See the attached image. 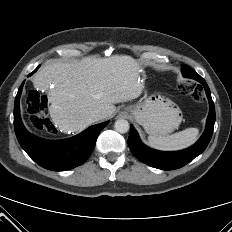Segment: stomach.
Returning a JSON list of instances; mask_svg holds the SVG:
<instances>
[{"label": "stomach", "instance_id": "obj_1", "mask_svg": "<svg viewBox=\"0 0 232 232\" xmlns=\"http://www.w3.org/2000/svg\"><path fill=\"white\" fill-rule=\"evenodd\" d=\"M124 109L148 134L154 136H165L173 132L182 121L179 107L158 93L151 94L144 101L128 105Z\"/></svg>", "mask_w": 232, "mask_h": 232}]
</instances>
